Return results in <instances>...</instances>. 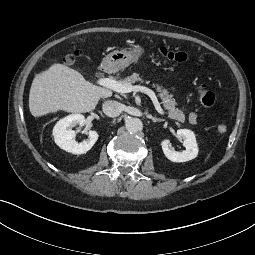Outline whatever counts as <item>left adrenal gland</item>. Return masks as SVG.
Segmentation results:
<instances>
[{
  "label": "left adrenal gland",
  "instance_id": "a2214340",
  "mask_svg": "<svg viewBox=\"0 0 255 255\" xmlns=\"http://www.w3.org/2000/svg\"><path fill=\"white\" fill-rule=\"evenodd\" d=\"M150 118L152 119L153 122H164L165 121V119L156 118V117H153V116H151Z\"/></svg>",
  "mask_w": 255,
  "mask_h": 255
}]
</instances>
